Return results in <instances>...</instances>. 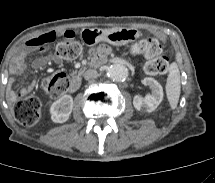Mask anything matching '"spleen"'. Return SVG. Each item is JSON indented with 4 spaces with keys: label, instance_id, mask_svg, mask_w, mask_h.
<instances>
[{
    "label": "spleen",
    "instance_id": "obj_1",
    "mask_svg": "<svg viewBox=\"0 0 215 183\" xmlns=\"http://www.w3.org/2000/svg\"><path fill=\"white\" fill-rule=\"evenodd\" d=\"M165 88L169 104L172 109H175L177 107L181 92L180 72L175 63H173L170 67Z\"/></svg>",
    "mask_w": 215,
    "mask_h": 183
}]
</instances>
